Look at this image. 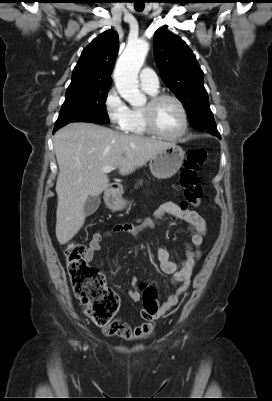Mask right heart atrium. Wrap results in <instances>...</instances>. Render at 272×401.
Instances as JSON below:
<instances>
[{
    "label": "right heart atrium",
    "instance_id": "right-heart-atrium-1",
    "mask_svg": "<svg viewBox=\"0 0 272 401\" xmlns=\"http://www.w3.org/2000/svg\"><path fill=\"white\" fill-rule=\"evenodd\" d=\"M104 109L111 124L118 130H125L131 109L116 88H110L104 98Z\"/></svg>",
    "mask_w": 272,
    "mask_h": 401
}]
</instances>
